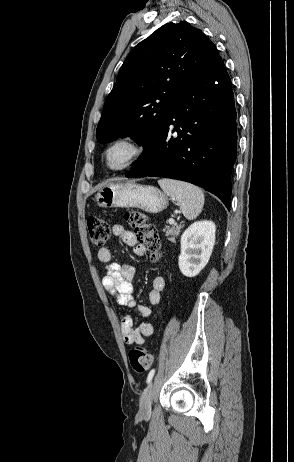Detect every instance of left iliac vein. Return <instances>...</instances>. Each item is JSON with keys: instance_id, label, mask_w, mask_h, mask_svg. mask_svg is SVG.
Returning a JSON list of instances; mask_svg holds the SVG:
<instances>
[{"instance_id": "1", "label": "left iliac vein", "mask_w": 294, "mask_h": 462, "mask_svg": "<svg viewBox=\"0 0 294 462\" xmlns=\"http://www.w3.org/2000/svg\"><path fill=\"white\" fill-rule=\"evenodd\" d=\"M153 383H150L144 390L140 398V413L143 415L149 414L152 408L153 399Z\"/></svg>"}]
</instances>
